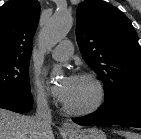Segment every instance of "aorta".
<instances>
[{"instance_id":"1","label":"aorta","mask_w":141,"mask_h":139,"mask_svg":"<svg viewBox=\"0 0 141 139\" xmlns=\"http://www.w3.org/2000/svg\"><path fill=\"white\" fill-rule=\"evenodd\" d=\"M73 25V18L67 13L57 12L46 24L41 38L40 45L43 49L49 50L66 37Z\"/></svg>"}]
</instances>
